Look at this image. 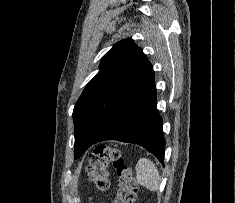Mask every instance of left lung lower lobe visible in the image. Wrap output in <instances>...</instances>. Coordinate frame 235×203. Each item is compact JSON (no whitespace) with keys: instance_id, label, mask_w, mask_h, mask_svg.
Segmentation results:
<instances>
[{"instance_id":"0a47b994","label":"left lung lower lobe","mask_w":235,"mask_h":203,"mask_svg":"<svg viewBox=\"0 0 235 203\" xmlns=\"http://www.w3.org/2000/svg\"><path fill=\"white\" fill-rule=\"evenodd\" d=\"M162 119L157 110L154 71L129 95L111 122L98 136L83 130L79 136L84 141L83 149L105 140H118L138 144L164 164L165 140Z\"/></svg>"}]
</instances>
